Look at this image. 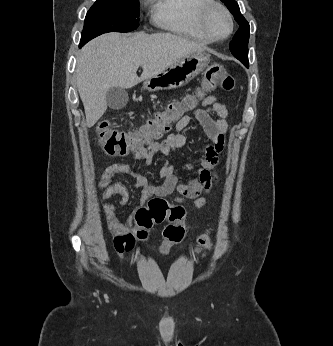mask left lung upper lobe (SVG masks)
I'll return each mask as SVG.
<instances>
[{
    "instance_id": "5c2ea615",
    "label": "left lung upper lobe",
    "mask_w": 333,
    "mask_h": 346,
    "mask_svg": "<svg viewBox=\"0 0 333 346\" xmlns=\"http://www.w3.org/2000/svg\"><path fill=\"white\" fill-rule=\"evenodd\" d=\"M229 11L233 14L235 20L240 25L234 38L229 44L232 54L248 67V40H249V23L240 13L239 6L235 0H221Z\"/></svg>"
}]
</instances>
